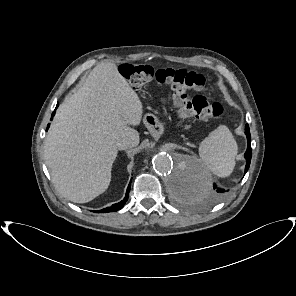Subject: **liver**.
Masks as SVG:
<instances>
[{"instance_id": "1", "label": "liver", "mask_w": 296, "mask_h": 296, "mask_svg": "<svg viewBox=\"0 0 296 296\" xmlns=\"http://www.w3.org/2000/svg\"><path fill=\"white\" fill-rule=\"evenodd\" d=\"M143 105L114 63H99L59 106L45 139L44 157L57 191L75 203L104 193L117 142L139 143ZM133 146V147H134Z\"/></svg>"}]
</instances>
